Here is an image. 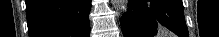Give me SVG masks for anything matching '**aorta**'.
Wrapping results in <instances>:
<instances>
[{
  "label": "aorta",
  "mask_w": 219,
  "mask_h": 37,
  "mask_svg": "<svg viewBox=\"0 0 219 37\" xmlns=\"http://www.w3.org/2000/svg\"><path fill=\"white\" fill-rule=\"evenodd\" d=\"M111 2L113 7L119 12L126 10L128 7V0H111Z\"/></svg>",
  "instance_id": "762f6f07"
}]
</instances>
